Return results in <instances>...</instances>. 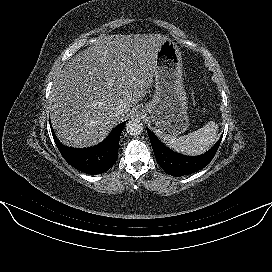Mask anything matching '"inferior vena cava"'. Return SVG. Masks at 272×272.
Masks as SVG:
<instances>
[{
  "label": "inferior vena cava",
  "mask_w": 272,
  "mask_h": 272,
  "mask_svg": "<svg viewBox=\"0 0 272 272\" xmlns=\"http://www.w3.org/2000/svg\"><path fill=\"white\" fill-rule=\"evenodd\" d=\"M115 110H116L117 114L122 115V114L128 112L129 108L127 107V105L119 103L116 106Z\"/></svg>",
  "instance_id": "obj_1"
}]
</instances>
